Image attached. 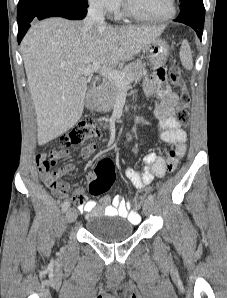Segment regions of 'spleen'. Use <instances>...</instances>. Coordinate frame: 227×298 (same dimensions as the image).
Masks as SVG:
<instances>
[{
  "label": "spleen",
  "instance_id": "1",
  "mask_svg": "<svg viewBox=\"0 0 227 298\" xmlns=\"http://www.w3.org/2000/svg\"><path fill=\"white\" fill-rule=\"evenodd\" d=\"M180 60L182 66L187 69L191 70L193 68V59L192 53L187 40H183L181 49H180Z\"/></svg>",
  "mask_w": 227,
  "mask_h": 298
}]
</instances>
